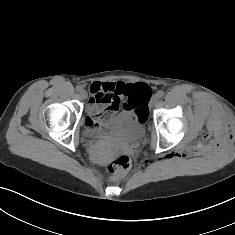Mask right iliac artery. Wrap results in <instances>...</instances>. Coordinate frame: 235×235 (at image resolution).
Returning a JSON list of instances; mask_svg holds the SVG:
<instances>
[{
    "mask_svg": "<svg viewBox=\"0 0 235 235\" xmlns=\"http://www.w3.org/2000/svg\"><path fill=\"white\" fill-rule=\"evenodd\" d=\"M76 91L77 92H81L82 91V87L81 86H76Z\"/></svg>",
    "mask_w": 235,
    "mask_h": 235,
    "instance_id": "82829eb1",
    "label": "right iliac artery"
}]
</instances>
